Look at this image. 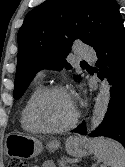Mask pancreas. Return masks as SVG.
Listing matches in <instances>:
<instances>
[{
    "mask_svg": "<svg viewBox=\"0 0 125 167\" xmlns=\"http://www.w3.org/2000/svg\"><path fill=\"white\" fill-rule=\"evenodd\" d=\"M67 159L66 158H62L61 160H58V164H59V167H68L66 165V161Z\"/></svg>",
    "mask_w": 125,
    "mask_h": 167,
    "instance_id": "pancreas-1",
    "label": "pancreas"
}]
</instances>
